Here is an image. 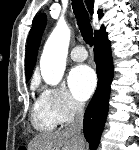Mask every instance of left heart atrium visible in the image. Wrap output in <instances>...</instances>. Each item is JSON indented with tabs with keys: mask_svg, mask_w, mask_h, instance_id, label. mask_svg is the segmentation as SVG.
Segmentation results:
<instances>
[{
	"mask_svg": "<svg viewBox=\"0 0 139 150\" xmlns=\"http://www.w3.org/2000/svg\"><path fill=\"white\" fill-rule=\"evenodd\" d=\"M96 83L95 72L86 65L75 67L68 77L71 93L79 101H85L92 95Z\"/></svg>",
	"mask_w": 139,
	"mask_h": 150,
	"instance_id": "39dd6f15",
	"label": "left heart atrium"
}]
</instances>
